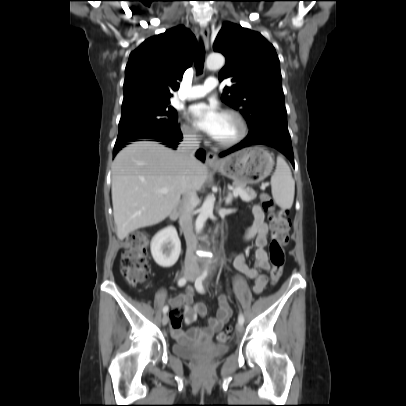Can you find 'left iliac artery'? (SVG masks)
<instances>
[{
    "instance_id": "obj_1",
    "label": "left iliac artery",
    "mask_w": 406,
    "mask_h": 406,
    "mask_svg": "<svg viewBox=\"0 0 406 406\" xmlns=\"http://www.w3.org/2000/svg\"><path fill=\"white\" fill-rule=\"evenodd\" d=\"M208 276V270H205L202 275L200 277H198L195 281V288L199 293H204V287H203V281L207 278ZM238 322L240 324L244 323V316L242 315V313H240L239 317H238Z\"/></svg>"
}]
</instances>
